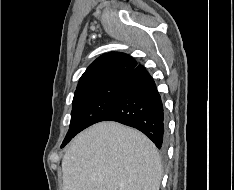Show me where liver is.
<instances>
[{"mask_svg":"<svg viewBox=\"0 0 234 190\" xmlns=\"http://www.w3.org/2000/svg\"><path fill=\"white\" fill-rule=\"evenodd\" d=\"M63 190H159L162 166L155 145L117 122L79 133L62 159Z\"/></svg>","mask_w":234,"mask_h":190,"instance_id":"liver-1","label":"liver"}]
</instances>
